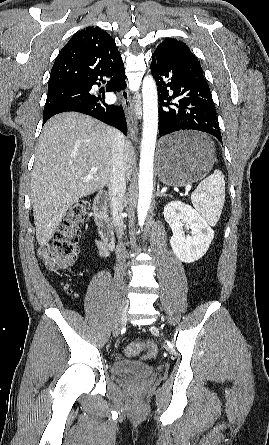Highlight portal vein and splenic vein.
<instances>
[{"label": "portal vein and splenic vein", "mask_w": 269, "mask_h": 445, "mask_svg": "<svg viewBox=\"0 0 269 445\" xmlns=\"http://www.w3.org/2000/svg\"><path fill=\"white\" fill-rule=\"evenodd\" d=\"M97 168H95V167H92L90 170H89V174L90 175H92V174H96L97 173ZM191 190V185H188L187 187H186V191H190Z\"/></svg>", "instance_id": "obj_1"}]
</instances>
